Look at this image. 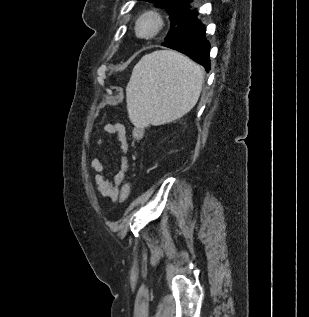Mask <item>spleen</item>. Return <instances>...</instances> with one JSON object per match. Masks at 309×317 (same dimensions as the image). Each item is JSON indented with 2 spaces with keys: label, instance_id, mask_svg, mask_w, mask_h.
I'll use <instances>...</instances> for the list:
<instances>
[{
  "label": "spleen",
  "instance_id": "3e777b00",
  "mask_svg": "<svg viewBox=\"0 0 309 317\" xmlns=\"http://www.w3.org/2000/svg\"><path fill=\"white\" fill-rule=\"evenodd\" d=\"M203 81L202 68L180 53L158 50L143 56L126 87L131 122L146 127L181 118L198 102Z\"/></svg>",
  "mask_w": 309,
  "mask_h": 317
}]
</instances>
